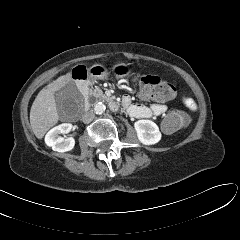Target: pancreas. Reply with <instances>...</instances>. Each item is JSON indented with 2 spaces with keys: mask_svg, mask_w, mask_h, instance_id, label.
Instances as JSON below:
<instances>
[{
  "mask_svg": "<svg viewBox=\"0 0 240 240\" xmlns=\"http://www.w3.org/2000/svg\"><path fill=\"white\" fill-rule=\"evenodd\" d=\"M90 96H94L99 99H108L107 96L103 93V91L98 87L90 91Z\"/></svg>",
  "mask_w": 240,
  "mask_h": 240,
  "instance_id": "obj_1",
  "label": "pancreas"
}]
</instances>
